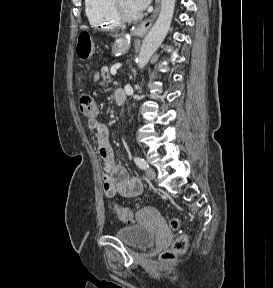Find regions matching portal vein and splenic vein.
Masks as SVG:
<instances>
[{
  "mask_svg": "<svg viewBox=\"0 0 273 288\" xmlns=\"http://www.w3.org/2000/svg\"><path fill=\"white\" fill-rule=\"evenodd\" d=\"M121 67V64H116L114 66L111 67V74L115 75L117 72V69Z\"/></svg>",
  "mask_w": 273,
  "mask_h": 288,
  "instance_id": "18ae733b",
  "label": "portal vein and splenic vein"
}]
</instances>
